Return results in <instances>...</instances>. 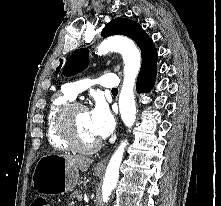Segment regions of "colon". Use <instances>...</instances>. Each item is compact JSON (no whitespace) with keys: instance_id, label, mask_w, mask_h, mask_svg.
<instances>
[{"instance_id":"colon-1","label":"colon","mask_w":221,"mask_h":206,"mask_svg":"<svg viewBox=\"0 0 221 206\" xmlns=\"http://www.w3.org/2000/svg\"><path fill=\"white\" fill-rule=\"evenodd\" d=\"M30 206H49L48 203L43 199H34Z\"/></svg>"}]
</instances>
